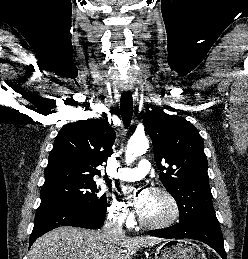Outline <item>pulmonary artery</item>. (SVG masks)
<instances>
[{
    "instance_id": "obj_1",
    "label": "pulmonary artery",
    "mask_w": 248,
    "mask_h": 259,
    "mask_svg": "<svg viewBox=\"0 0 248 259\" xmlns=\"http://www.w3.org/2000/svg\"><path fill=\"white\" fill-rule=\"evenodd\" d=\"M151 165L147 159H142L136 168H120L114 178L124 181H136L143 178L149 171Z\"/></svg>"
}]
</instances>
